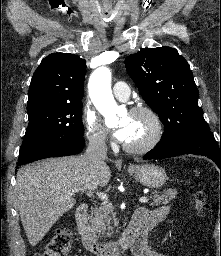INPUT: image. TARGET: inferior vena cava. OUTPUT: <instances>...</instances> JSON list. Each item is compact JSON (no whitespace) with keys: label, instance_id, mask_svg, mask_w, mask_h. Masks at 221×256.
<instances>
[{"label":"inferior vena cava","instance_id":"obj_1","mask_svg":"<svg viewBox=\"0 0 221 256\" xmlns=\"http://www.w3.org/2000/svg\"><path fill=\"white\" fill-rule=\"evenodd\" d=\"M107 156L105 137L93 135L89 137V144L84 154L86 161L92 168H101Z\"/></svg>","mask_w":221,"mask_h":256}]
</instances>
